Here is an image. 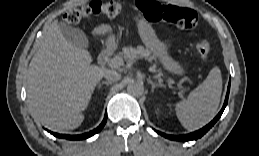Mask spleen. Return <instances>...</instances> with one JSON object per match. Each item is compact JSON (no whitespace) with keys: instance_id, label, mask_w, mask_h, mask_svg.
<instances>
[{"instance_id":"spleen-1","label":"spleen","mask_w":259,"mask_h":156,"mask_svg":"<svg viewBox=\"0 0 259 156\" xmlns=\"http://www.w3.org/2000/svg\"><path fill=\"white\" fill-rule=\"evenodd\" d=\"M222 93V77L218 67L187 97L175 105L176 115L188 130H196L209 123L217 113Z\"/></svg>"}]
</instances>
